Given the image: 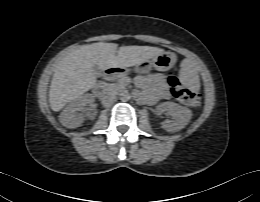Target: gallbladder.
I'll return each mask as SVG.
<instances>
[{
    "label": "gallbladder",
    "mask_w": 260,
    "mask_h": 202,
    "mask_svg": "<svg viewBox=\"0 0 260 202\" xmlns=\"http://www.w3.org/2000/svg\"><path fill=\"white\" fill-rule=\"evenodd\" d=\"M93 72H94V74H95L97 77L102 76V70H100V69L98 68V66H94V67H93Z\"/></svg>",
    "instance_id": "obj_1"
}]
</instances>
